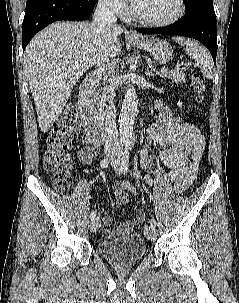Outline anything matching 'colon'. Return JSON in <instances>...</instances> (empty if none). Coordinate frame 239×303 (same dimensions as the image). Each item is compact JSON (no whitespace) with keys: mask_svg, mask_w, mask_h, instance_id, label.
<instances>
[{"mask_svg":"<svg viewBox=\"0 0 239 303\" xmlns=\"http://www.w3.org/2000/svg\"><path fill=\"white\" fill-rule=\"evenodd\" d=\"M191 84L198 102L202 100L204 90V76L195 72L191 76ZM78 126V110L69 104L55 123L49 139L48 149L44 156V170L52 177L53 188L58 192L65 191L71 183V170L73 159L69 151L74 146ZM128 203V197L122 195L118 198V205L123 207Z\"/></svg>","mask_w":239,"mask_h":303,"instance_id":"1","label":"colon"}]
</instances>
